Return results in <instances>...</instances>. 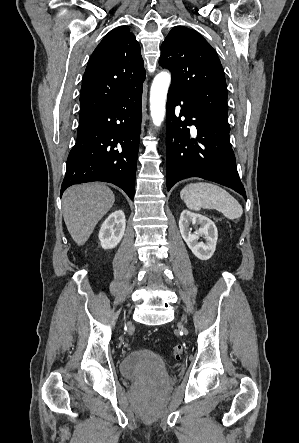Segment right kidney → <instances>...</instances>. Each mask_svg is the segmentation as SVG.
Instances as JSON below:
<instances>
[{"label": "right kidney", "instance_id": "1", "mask_svg": "<svg viewBox=\"0 0 299 443\" xmlns=\"http://www.w3.org/2000/svg\"><path fill=\"white\" fill-rule=\"evenodd\" d=\"M126 226L125 214L122 210L111 213L103 222L99 231V240L104 249L116 247L124 236Z\"/></svg>", "mask_w": 299, "mask_h": 443}]
</instances>
